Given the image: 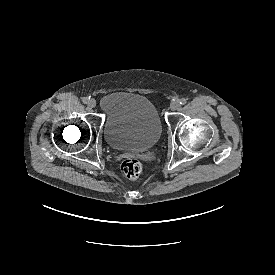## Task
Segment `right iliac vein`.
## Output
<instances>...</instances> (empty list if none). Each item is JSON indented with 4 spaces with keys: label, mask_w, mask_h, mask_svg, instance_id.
<instances>
[{
    "label": "right iliac vein",
    "mask_w": 275,
    "mask_h": 275,
    "mask_svg": "<svg viewBox=\"0 0 275 275\" xmlns=\"http://www.w3.org/2000/svg\"><path fill=\"white\" fill-rule=\"evenodd\" d=\"M88 106L90 108H94L96 106V100L95 99H90L88 102Z\"/></svg>",
    "instance_id": "63e3f726"
}]
</instances>
